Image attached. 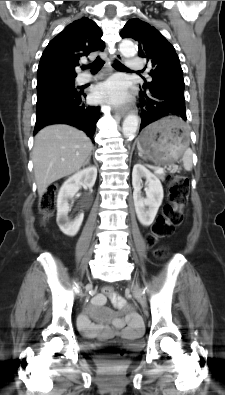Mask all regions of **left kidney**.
Wrapping results in <instances>:
<instances>
[{
  "label": "left kidney",
  "mask_w": 225,
  "mask_h": 395,
  "mask_svg": "<svg viewBox=\"0 0 225 395\" xmlns=\"http://www.w3.org/2000/svg\"><path fill=\"white\" fill-rule=\"evenodd\" d=\"M142 178L147 180L146 198L141 195ZM133 200L140 223L149 226L155 219L163 200V187L159 178L142 164H135L132 171Z\"/></svg>",
  "instance_id": "5707ae66"
}]
</instances>
